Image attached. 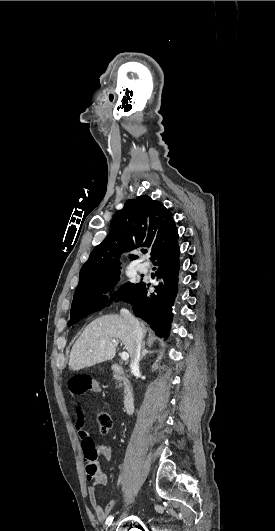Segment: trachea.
<instances>
[{"mask_svg": "<svg viewBox=\"0 0 275 531\" xmlns=\"http://www.w3.org/2000/svg\"><path fill=\"white\" fill-rule=\"evenodd\" d=\"M146 252H147V250H146V249H143V250H142V253H146Z\"/></svg>", "mask_w": 275, "mask_h": 531, "instance_id": "3493384b", "label": "trachea"}]
</instances>
